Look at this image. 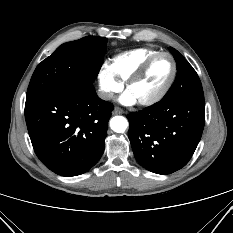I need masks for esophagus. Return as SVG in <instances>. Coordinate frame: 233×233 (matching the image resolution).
I'll return each mask as SVG.
<instances>
[{
  "mask_svg": "<svg viewBox=\"0 0 233 233\" xmlns=\"http://www.w3.org/2000/svg\"><path fill=\"white\" fill-rule=\"evenodd\" d=\"M112 113L113 115H118L124 113V111L120 107H115Z\"/></svg>",
  "mask_w": 233,
  "mask_h": 233,
  "instance_id": "34e87169",
  "label": "esophagus"
}]
</instances>
